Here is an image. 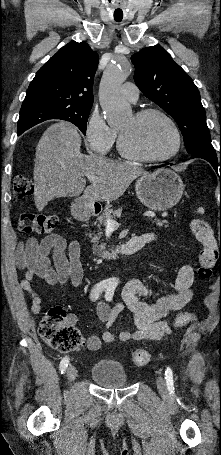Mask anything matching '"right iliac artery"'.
Instances as JSON below:
<instances>
[{
  "label": "right iliac artery",
  "instance_id": "82829eb1",
  "mask_svg": "<svg viewBox=\"0 0 221 455\" xmlns=\"http://www.w3.org/2000/svg\"><path fill=\"white\" fill-rule=\"evenodd\" d=\"M109 286L110 285L107 282H100V283L96 284L90 293L91 301L95 302L99 298V296L102 294V292L105 289H107ZM68 363H69V358L67 356L61 360L60 366H59V370H60L61 374L65 373Z\"/></svg>",
  "mask_w": 221,
  "mask_h": 455
}]
</instances>
